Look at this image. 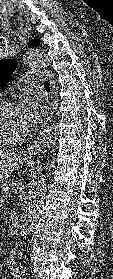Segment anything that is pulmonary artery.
I'll use <instances>...</instances> for the list:
<instances>
[{"label":"pulmonary artery","instance_id":"e3ab8cb5","mask_svg":"<svg viewBox=\"0 0 113 279\" xmlns=\"http://www.w3.org/2000/svg\"><path fill=\"white\" fill-rule=\"evenodd\" d=\"M28 84L37 83L44 80V75L42 73L27 74L26 75Z\"/></svg>","mask_w":113,"mask_h":279}]
</instances>
